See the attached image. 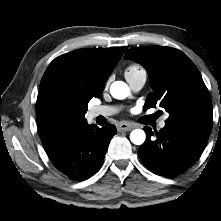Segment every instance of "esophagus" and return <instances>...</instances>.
<instances>
[{"label": "esophagus", "instance_id": "1", "mask_svg": "<svg viewBox=\"0 0 221 221\" xmlns=\"http://www.w3.org/2000/svg\"><path fill=\"white\" fill-rule=\"evenodd\" d=\"M132 128H133V126H131L129 124H126V123H120V124L117 125V129L120 132L130 131Z\"/></svg>", "mask_w": 221, "mask_h": 221}]
</instances>
